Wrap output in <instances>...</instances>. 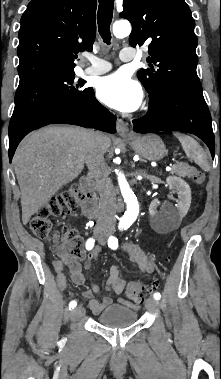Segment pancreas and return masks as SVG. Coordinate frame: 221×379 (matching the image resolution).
I'll return each mask as SVG.
<instances>
[{
    "instance_id": "obj_1",
    "label": "pancreas",
    "mask_w": 221,
    "mask_h": 379,
    "mask_svg": "<svg viewBox=\"0 0 221 379\" xmlns=\"http://www.w3.org/2000/svg\"><path fill=\"white\" fill-rule=\"evenodd\" d=\"M190 166L186 163H178L173 167L172 173L181 177L189 176Z\"/></svg>"
}]
</instances>
